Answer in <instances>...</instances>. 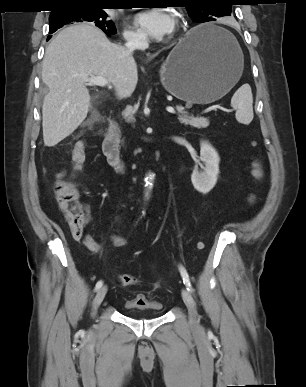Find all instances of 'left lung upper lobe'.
<instances>
[{"label": "left lung upper lobe", "instance_id": "obj_1", "mask_svg": "<svg viewBox=\"0 0 306 387\" xmlns=\"http://www.w3.org/2000/svg\"><path fill=\"white\" fill-rule=\"evenodd\" d=\"M182 2L191 18L200 23L231 15V0H183Z\"/></svg>", "mask_w": 306, "mask_h": 387}]
</instances>
